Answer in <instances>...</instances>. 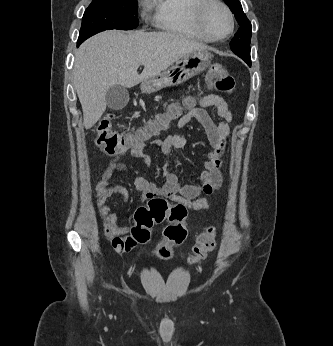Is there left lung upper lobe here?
Returning <instances> with one entry per match:
<instances>
[{"label": "left lung upper lobe", "instance_id": "obj_1", "mask_svg": "<svg viewBox=\"0 0 333 346\" xmlns=\"http://www.w3.org/2000/svg\"><path fill=\"white\" fill-rule=\"evenodd\" d=\"M234 13L237 22L240 25L235 37L233 38L230 48L231 50L242 58L248 65H251L250 58V39L252 34L251 22L248 20L243 12L239 0H223Z\"/></svg>", "mask_w": 333, "mask_h": 346}]
</instances>
